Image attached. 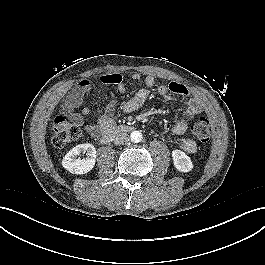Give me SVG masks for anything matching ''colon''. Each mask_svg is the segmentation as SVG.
<instances>
[{"label":"colon","instance_id":"1","mask_svg":"<svg viewBox=\"0 0 265 265\" xmlns=\"http://www.w3.org/2000/svg\"><path fill=\"white\" fill-rule=\"evenodd\" d=\"M210 121L205 116L198 117L191 125V132L202 143L210 139ZM80 128L71 122L66 116L58 115L53 125V143L57 147H63L76 141L80 137Z\"/></svg>","mask_w":265,"mask_h":265}]
</instances>
